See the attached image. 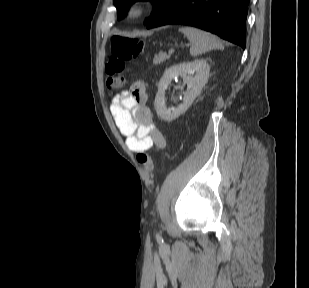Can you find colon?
<instances>
[{
	"label": "colon",
	"instance_id": "obj_1",
	"mask_svg": "<svg viewBox=\"0 0 309 288\" xmlns=\"http://www.w3.org/2000/svg\"><path fill=\"white\" fill-rule=\"evenodd\" d=\"M144 42L139 39L115 36L111 41V50L106 58V85L109 89H120L126 83V62L141 55ZM137 161L146 169L153 167V161L147 151L137 154Z\"/></svg>",
	"mask_w": 309,
	"mask_h": 288
}]
</instances>
